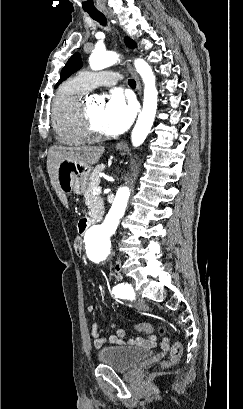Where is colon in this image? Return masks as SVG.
I'll list each match as a JSON object with an SVG mask.
<instances>
[{"instance_id": "5ec220e1", "label": "colon", "mask_w": 243, "mask_h": 409, "mask_svg": "<svg viewBox=\"0 0 243 409\" xmlns=\"http://www.w3.org/2000/svg\"><path fill=\"white\" fill-rule=\"evenodd\" d=\"M73 248L76 254H80L82 250V240L80 237H76L73 242ZM136 329L142 333H151L152 332V327L151 325L147 323H142L138 324L136 326ZM161 332L163 333L164 330L161 329ZM162 345L166 347L167 349L169 348V339L164 338ZM182 355V345L180 342H175L170 349V358L167 362H165L166 365H170L173 363H176Z\"/></svg>"}]
</instances>
